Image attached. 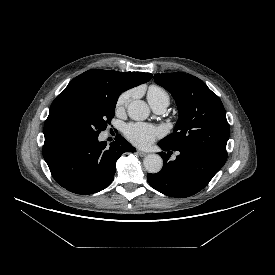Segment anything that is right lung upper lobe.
I'll list each match as a JSON object with an SVG mask.
<instances>
[{"label":"right lung upper lobe","instance_id":"obj_1","mask_svg":"<svg viewBox=\"0 0 275 275\" xmlns=\"http://www.w3.org/2000/svg\"><path fill=\"white\" fill-rule=\"evenodd\" d=\"M151 78L152 74L150 73L92 69L74 78L57 98L81 89L106 90L121 94L127 89L149 81ZM44 136H48V134L44 133Z\"/></svg>","mask_w":275,"mask_h":275}]
</instances>
